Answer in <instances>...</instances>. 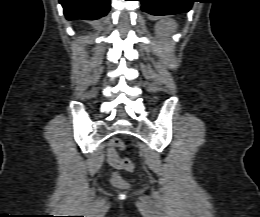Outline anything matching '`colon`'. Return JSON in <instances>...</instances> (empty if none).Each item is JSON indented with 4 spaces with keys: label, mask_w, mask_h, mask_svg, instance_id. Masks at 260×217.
Segmentation results:
<instances>
[{
    "label": "colon",
    "mask_w": 260,
    "mask_h": 217,
    "mask_svg": "<svg viewBox=\"0 0 260 217\" xmlns=\"http://www.w3.org/2000/svg\"><path fill=\"white\" fill-rule=\"evenodd\" d=\"M110 145L114 149H122L123 148V142L118 138H113L110 141ZM117 165L120 169L132 172L133 171V163L129 158H119L117 160ZM111 182L114 186L118 188H126L127 182L126 180L118 173L114 174L111 178Z\"/></svg>",
    "instance_id": "colon-1"
}]
</instances>
